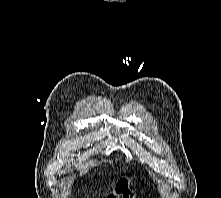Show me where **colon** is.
<instances>
[{
  "instance_id": "1",
  "label": "colon",
  "mask_w": 221,
  "mask_h": 198,
  "mask_svg": "<svg viewBox=\"0 0 221 198\" xmlns=\"http://www.w3.org/2000/svg\"><path fill=\"white\" fill-rule=\"evenodd\" d=\"M133 192L130 189L129 181L122 179L116 186V193L107 196V198H132Z\"/></svg>"
}]
</instances>
